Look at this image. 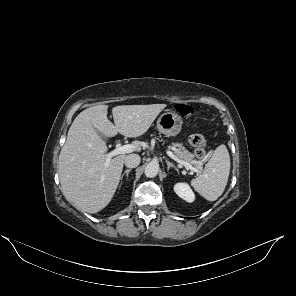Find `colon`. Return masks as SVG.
<instances>
[{"instance_id":"5ec220e1","label":"colon","mask_w":296,"mask_h":296,"mask_svg":"<svg viewBox=\"0 0 296 296\" xmlns=\"http://www.w3.org/2000/svg\"><path fill=\"white\" fill-rule=\"evenodd\" d=\"M175 110L178 114L181 116H190L193 113V109L191 106L184 104V103H179L175 105ZM189 143L190 145L194 148V153L195 156L203 160L206 158V140L205 137L201 134H193L189 137Z\"/></svg>"}]
</instances>
